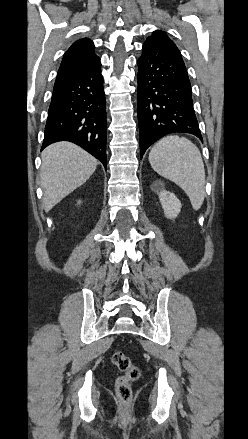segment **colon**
I'll return each mask as SVG.
<instances>
[{"label":"colon","mask_w":248,"mask_h":439,"mask_svg":"<svg viewBox=\"0 0 248 439\" xmlns=\"http://www.w3.org/2000/svg\"><path fill=\"white\" fill-rule=\"evenodd\" d=\"M112 363L122 372L116 381V395L122 403H128L132 397L131 384L139 378L140 370L127 355L119 351L112 355Z\"/></svg>","instance_id":"colon-1"}]
</instances>
